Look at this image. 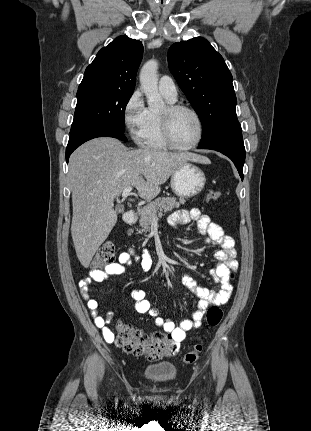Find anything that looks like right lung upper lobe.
<instances>
[{
  "instance_id": "1",
  "label": "right lung upper lobe",
  "mask_w": 311,
  "mask_h": 431,
  "mask_svg": "<svg viewBox=\"0 0 311 431\" xmlns=\"http://www.w3.org/2000/svg\"><path fill=\"white\" fill-rule=\"evenodd\" d=\"M142 55L140 41L126 36L115 38L86 68L78 91L102 89L133 93Z\"/></svg>"
}]
</instances>
